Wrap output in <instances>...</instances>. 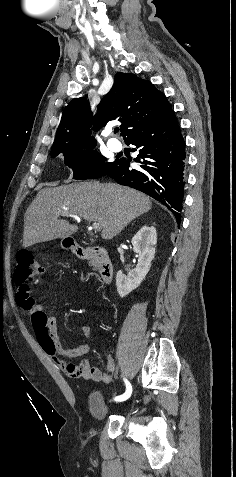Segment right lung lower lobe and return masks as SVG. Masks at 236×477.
Returning <instances> with one entry per match:
<instances>
[{
  "label": "right lung lower lobe",
  "mask_w": 236,
  "mask_h": 477,
  "mask_svg": "<svg viewBox=\"0 0 236 477\" xmlns=\"http://www.w3.org/2000/svg\"><path fill=\"white\" fill-rule=\"evenodd\" d=\"M125 143L136 146L140 168L133 169L129 160L120 159L106 175L160 201L180 224L186 152L174 112L160 124L132 134Z\"/></svg>",
  "instance_id": "obj_1"
}]
</instances>
